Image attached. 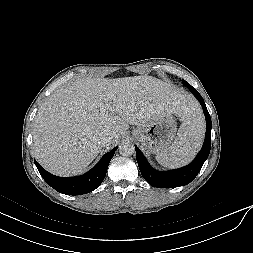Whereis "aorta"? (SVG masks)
<instances>
[{
	"label": "aorta",
	"instance_id": "obj_1",
	"mask_svg": "<svg viewBox=\"0 0 253 253\" xmlns=\"http://www.w3.org/2000/svg\"><path fill=\"white\" fill-rule=\"evenodd\" d=\"M135 152L134 145L129 141H124L119 145V153L122 156H131Z\"/></svg>",
	"mask_w": 253,
	"mask_h": 253
}]
</instances>
